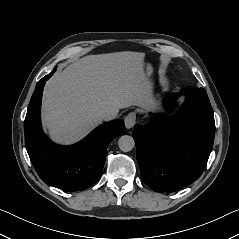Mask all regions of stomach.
I'll use <instances>...</instances> for the list:
<instances>
[{"label":"stomach","mask_w":239,"mask_h":239,"mask_svg":"<svg viewBox=\"0 0 239 239\" xmlns=\"http://www.w3.org/2000/svg\"><path fill=\"white\" fill-rule=\"evenodd\" d=\"M151 74H152V68L148 65L146 68V75L148 79L150 78Z\"/></svg>","instance_id":"obj_1"}]
</instances>
